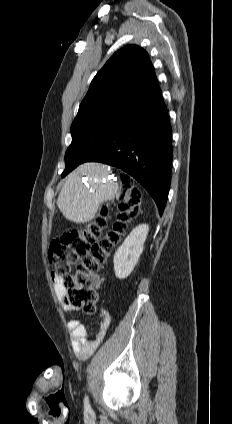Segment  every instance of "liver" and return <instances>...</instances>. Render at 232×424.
Masks as SVG:
<instances>
[{
    "label": "liver",
    "mask_w": 232,
    "mask_h": 424,
    "mask_svg": "<svg viewBox=\"0 0 232 424\" xmlns=\"http://www.w3.org/2000/svg\"><path fill=\"white\" fill-rule=\"evenodd\" d=\"M109 174L101 163H84L70 173L64 181L57 199V205L63 215L75 223L91 221L101 205L107 200L119 196L116 181L104 182ZM88 178L87 183L82 179Z\"/></svg>",
    "instance_id": "liver-1"
}]
</instances>
